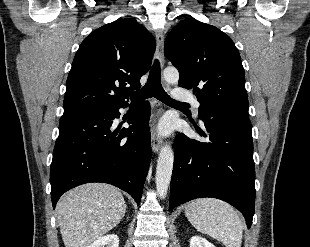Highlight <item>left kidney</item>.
Here are the masks:
<instances>
[{
    "mask_svg": "<svg viewBox=\"0 0 310 247\" xmlns=\"http://www.w3.org/2000/svg\"><path fill=\"white\" fill-rule=\"evenodd\" d=\"M190 247H215V246L200 236H193L190 240Z\"/></svg>",
    "mask_w": 310,
    "mask_h": 247,
    "instance_id": "1",
    "label": "left kidney"
}]
</instances>
